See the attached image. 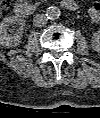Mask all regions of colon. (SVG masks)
Returning <instances> with one entry per match:
<instances>
[{"label": "colon", "mask_w": 100, "mask_h": 118, "mask_svg": "<svg viewBox=\"0 0 100 118\" xmlns=\"http://www.w3.org/2000/svg\"><path fill=\"white\" fill-rule=\"evenodd\" d=\"M11 4V0H4L3 6L8 8ZM90 16L94 21H97L100 17V6L97 3H94L90 9Z\"/></svg>", "instance_id": "1"}]
</instances>
